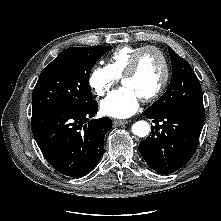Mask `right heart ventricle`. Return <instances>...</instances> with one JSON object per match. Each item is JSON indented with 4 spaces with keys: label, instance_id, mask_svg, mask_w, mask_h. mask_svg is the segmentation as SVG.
Masks as SVG:
<instances>
[{
    "label": "right heart ventricle",
    "instance_id": "e07e8e85",
    "mask_svg": "<svg viewBox=\"0 0 221 221\" xmlns=\"http://www.w3.org/2000/svg\"><path fill=\"white\" fill-rule=\"evenodd\" d=\"M145 46H122L117 48L108 59L106 67L116 78H120L134 54Z\"/></svg>",
    "mask_w": 221,
    "mask_h": 221
}]
</instances>
